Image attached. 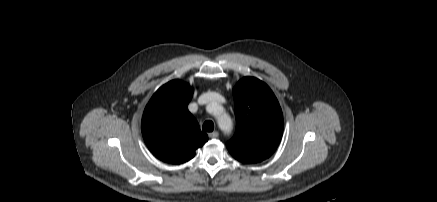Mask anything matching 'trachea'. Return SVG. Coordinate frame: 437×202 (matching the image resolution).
I'll return each mask as SVG.
<instances>
[{"instance_id":"trachea-1","label":"trachea","mask_w":437,"mask_h":202,"mask_svg":"<svg viewBox=\"0 0 437 202\" xmlns=\"http://www.w3.org/2000/svg\"><path fill=\"white\" fill-rule=\"evenodd\" d=\"M202 129L206 132H212L214 130V123L211 120L204 122Z\"/></svg>"}]
</instances>
